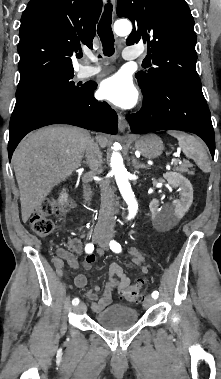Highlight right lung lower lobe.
Returning <instances> with one entry per match:
<instances>
[{
    "label": "right lung lower lobe",
    "mask_w": 221,
    "mask_h": 379,
    "mask_svg": "<svg viewBox=\"0 0 221 379\" xmlns=\"http://www.w3.org/2000/svg\"><path fill=\"white\" fill-rule=\"evenodd\" d=\"M95 88V85L88 84L78 96L66 102L42 107L11 127L8 143L9 159L27 133L46 125L70 124L89 130L116 134L118 130L117 114L106 102H98L94 98Z\"/></svg>",
    "instance_id": "right-lung-lower-lobe-1"
}]
</instances>
